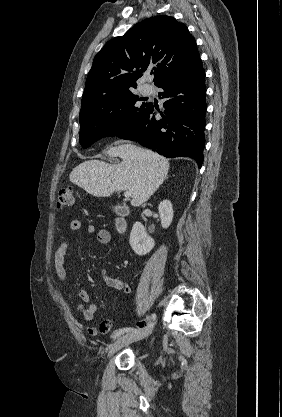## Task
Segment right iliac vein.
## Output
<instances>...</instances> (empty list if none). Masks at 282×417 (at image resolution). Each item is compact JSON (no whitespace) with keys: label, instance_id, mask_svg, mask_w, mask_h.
Masks as SVG:
<instances>
[{"label":"right iliac vein","instance_id":"63e3f726","mask_svg":"<svg viewBox=\"0 0 282 417\" xmlns=\"http://www.w3.org/2000/svg\"><path fill=\"white\" fill-rule=\"evenodd\" d=\"M153 328H154V323H150L147 327H145L144 329L136 333H128V334L121 336L110 346L108 357L114 355L117 351H119L124 346L134 341H138L147 337L152 332Z\"/></svg>","mask_w":282,"mask_h":417}]
</instances>
